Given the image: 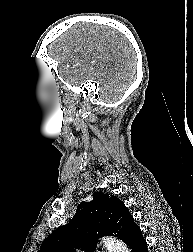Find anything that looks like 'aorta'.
Listing matches in <instances>:
<instances>
[{"label":"aorta","instance_id":"1","mask_svg":"<svg viewBox=\"0 0 193 252\" xmlns=\"http://www.w3.org/2000/svg\"><path fill=\"white\" fill-rule=\"evenodd\" d=\"M102 243L106 247L107 252H130L124 242L113 237L103 238Z\"/></svg>","mask_w":193,"mask_h":252}]
</instances>
